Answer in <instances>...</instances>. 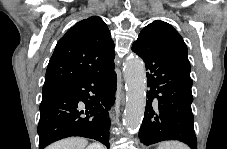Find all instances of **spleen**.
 Listing matches in <instances>:
<instances>
[{"instance_id":"3e777b00","label":"spleen","mask_w":227,"mask_h":149,"mask_svg":"<svg viewBox=\"0 0 227 149\" xmlns=\"http://www.w3.org/2000/svg\"><path fill=\"white\" fill-rule=\"evenodd\" d=\"M157 149H188V147L178 141H165L160 143Z\"/></svg>"}]
</instances>
